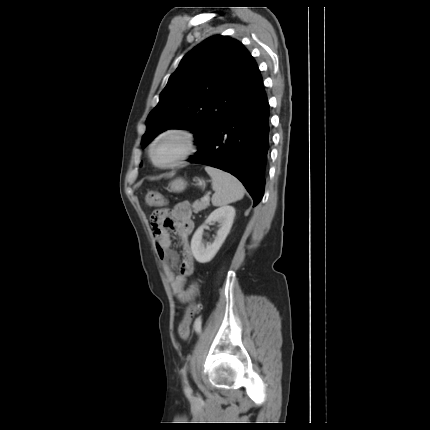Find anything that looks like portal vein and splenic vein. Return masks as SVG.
<instances>
[{
  "label": "portal vein and splenic vein",
  "mask_w": 430,
  "mask_h": 430,
  "mask_svg": "<svg viewBox=\"0 0 430 430\" xmlns=\"http://www.w3.org/2000/svg\"><path fill=\"white\" fill-rule=\"evenodd\" d=\"M209 199V195L207 194V195H205L204 197H203V200H208Z\"/></svg>",
  "instance_id": "18ae733b"
}]
</instances>
